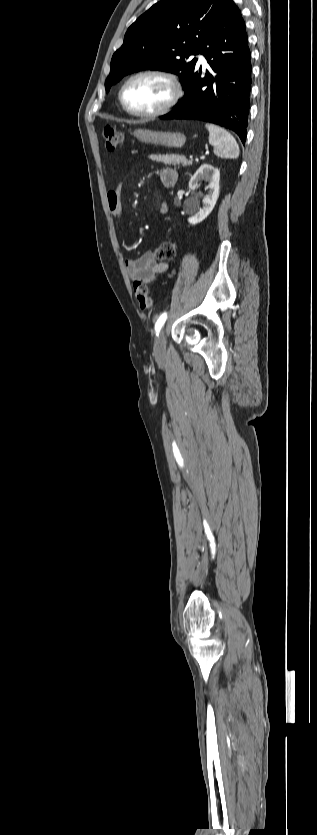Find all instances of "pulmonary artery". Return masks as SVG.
<instances>
[{"label":"pulmonary artery","mask_w":317,"mask_h":835,"mask_svg":"<svg viewBox=\"0 0 317 835\" xmlns=\"http://www.w3.org/2000/svg\"><path fill=\"white\" fill-rule=\"evenodd\" d=\"M198 62L201 63L203 66L207 65L206 59L203 54L199 53L197 56Z\"/></svg>","instance_id":"obj_1"}]
</instances>
